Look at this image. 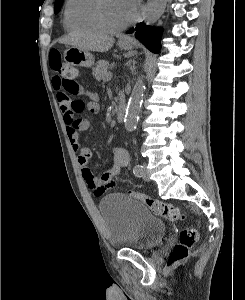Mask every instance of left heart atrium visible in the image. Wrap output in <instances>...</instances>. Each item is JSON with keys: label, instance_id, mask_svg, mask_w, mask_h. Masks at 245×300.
I'll return each instance as SVG.
<instances>
[{"label": "left heart atrium", "instance_id": "39dd6f15", "mask_svg": "<svg viewBox=\"0 0 245 300\" xmlns=\"http://www.w3.org/2000/svg\"><path fill=\"white\" fill-rule=\"evenodd\" d=\"M138 1L139 0H125V2L127 3L128 7L132 13V16L136 14Z\"/></svg>", "mask_w": 245, "mask_h": 300}]
</instances>
